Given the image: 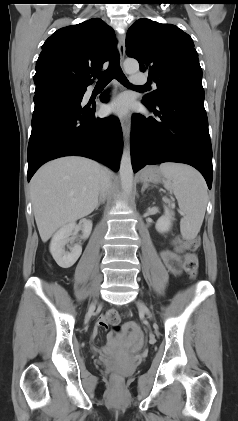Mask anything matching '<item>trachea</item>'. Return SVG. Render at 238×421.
<instances>
[{
    "label": "trachea",
    "mask_w": 238,
    "mask_h": 421,
    "mask_svg": "<svg viewBox=\"0 0 238 421\" xmlns=\"http://www.w3.org/2000/svg\"><path fill=\"white\" fill-rule=\"evenodd\" d=\"M94 75L98 78L97 83L99 84H108L112 79L115 78L125 86L145 88V86H133L128 82L127 77L124 75L120 67L119 54L117 51H115L111 57L108 69L104 72H95Z\"/></svg>",
    "instance_id": "3493384b"
}]
</instances>
